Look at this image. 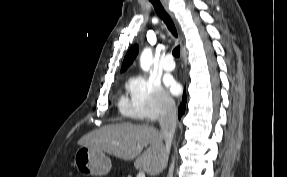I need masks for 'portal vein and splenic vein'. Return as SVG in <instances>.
<instances>
[{
  "label": "portal vein and splenic vein",
  "mask_w": 287,
  "mask_h": 177,
  "mask_svg": "<svg viewBox=\"0 0 287 177\" xmlns=\"http://www.w3.org/2000/svg\"><path fill=\"white\" fill-rule=\"evenodd\" d=\"M136 177H145V173L142 172V171H140V172L137 174Z\"/></svg>",
  "instance_id": "portal-vein-and-splenic-vein-1"
}]
</instances>
